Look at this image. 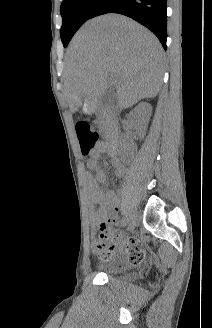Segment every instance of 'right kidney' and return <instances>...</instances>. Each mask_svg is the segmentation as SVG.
Here are the masks:
<instances>
[{
    "label": "right kidney",
    "instance_id": "ca27d5eb",
    "mask_svg": "<svg viewBox=\"0 0 212 328\" xmlns=\"http://www.w3.org/2000/svg\"><path fill=\"white\" fill-rule=\"evenodd\" d=\"M152 113V106L147 102L139 103L129 114L128 119L140 136H144Z\"/></svg>",
    "mask_w": 212,
    "mask_h": 328
}]
</instances>
